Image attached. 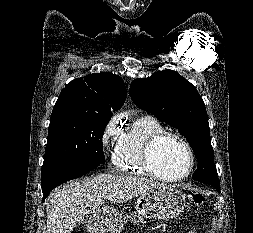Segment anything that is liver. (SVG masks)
I'll return each mask as SVG.
<instances>
[{
	"instance_id": "obj_1",
	"label": "liver",
	"mask_w": 253,
	"mask_h": 233,
	"mask_svg": "<svg viewBox=\"0 0 253 233\" xmlns=\"http://www.w3.org/2000/svg\"><path fill=\"white\" fill-rule=\"evenodd\" d=\"M163 186L145 178L111 174L70 182L47 204V233H71L87 214H101L107 195H113L112 202L118 204Z\"/></svg>"
}]
</instances>
